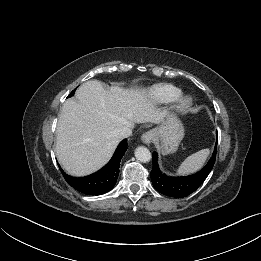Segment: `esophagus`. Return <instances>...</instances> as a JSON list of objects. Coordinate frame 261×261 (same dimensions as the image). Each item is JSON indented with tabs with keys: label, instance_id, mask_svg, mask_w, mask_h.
I'll return each instance as SVG.
<instances>
[{
	"label": "esophagus",
	"instance_id": "obj_1",
	"mask_svg": "<svg viewBox=\"0 0 261 261\" xmlns=\"http://www.w3.org/2000/svg\"><path fill=\"white\" fill-rule=\"evenodd\" d=\"M155 138V132L153 130L147 131L145 132L142 136H141V140L143 143L145 144H149L153 141V139Z\"/></svg>",
	"mask_w": 261,
	"mask_h": 261
}]
</instances>
